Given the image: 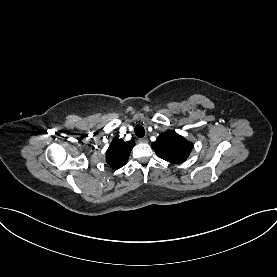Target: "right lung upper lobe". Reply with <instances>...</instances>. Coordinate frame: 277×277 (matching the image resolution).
Returning <instances> with one entry per match:
<instances>
[{"instance_id": "obj_1", "label": "right lung upper lobe", "mask_w": 277, "mask_h": 277, "mask_svg": "<svg viewBox=\"0 0 277 277\" xmlns=\"http://www.w3.org/2000/svg\"><path fill=\"white\" fill-rule=\"evenodd\" d=\"M134 146L133 141L125 142L122 139H114L106 152V161L109 166L114 170L124 166Z\"/></svg>"}]
</instances>
